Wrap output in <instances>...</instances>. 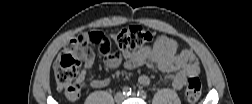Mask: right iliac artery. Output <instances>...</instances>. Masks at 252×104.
Instances as JSON below:
<instances>
[{
	"mask_svg": "<svg viewBox=\"0 0 252 104\" xmlns=\"http://www.w3.org/2000/svg\"><path fill=\"white\" fill-rule=\"evenodd\" d=\"M122 92H123V95L129 96V95H131V88L124 87Z\"/></svg>",
	"mask_w": 252,
	"mask_h": 104,
	"instance_id": "obj_1",
	"label": "right iliac artery"
}]
</instances>
